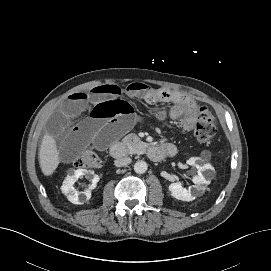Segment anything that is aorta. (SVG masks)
I'll return each instance as SVG.
<instances>
[{
	"label": "aorta",
	"mask_w": 271,
	"mask_h": 271,
	"mask_svg": "<svg viewBox=\"0 0 271 271\" xmlns=\"http://www.w3.org/2000/svg\"><path fill=\"white\" fill-rule=\"evenodd\" d=\"M147 168H148V165L145 161H137L135 164H134V171L138 174H143L147 171Z\"/></svg>",
	"instance_id": "762f6f07"
}]
</instances>
